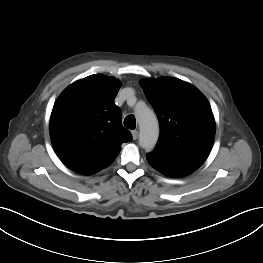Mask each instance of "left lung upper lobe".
<instances>
[{"label":"left lung upper lobe","mask_w":263,"mask_h":263,"mask_svg":"<svg viewBox=\"0 0 263 263\" xmlns=\"http://www.w3.org/2000/svg\"><path fill=\"white\" fill-rule=\"evenodd\" d=\"M141 85L160 124L154 151L205 160L215 137V120L205 96L193 85L172 77L143 80Z\"/></svg>","instance_id":"obj_1"}]
</instances>
